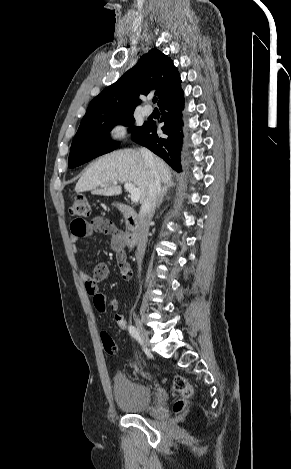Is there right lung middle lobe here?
I'll use <instances>...</instances> for the list:
<instances>
[{"mask_svg":"<svg viewBox=\"0 0 291 469\" xmlns=\"http://www.w3.org/2000/svg\"><path fill=\"white\" fill-rule=\"evenodd\" d=\"M134 122L133 112L82 121L71 145L68 166L77 167L116 149L119 144L109 139L110 130L117 124L131 126ZM140 128L133 126L129 131Z\"/></svg>","mask_w":291,"mask_h":469,"instance_id":"right-lung-middle-lobe-1","label":"right lung middle lobe"}]
</instances>
